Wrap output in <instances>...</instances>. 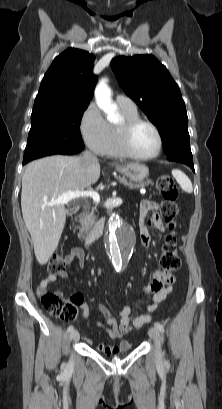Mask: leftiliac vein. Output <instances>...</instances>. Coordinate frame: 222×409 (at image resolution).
Masks as SVG:
<instances>
[{
  "instance_id": "4c4485c4",
  "label": "left iliac vein",
  "mask_w": 222,
  "mask_h": 409,
  "mask_svg": "<svg viewBox=\"0 0 222 409\" xmlns=\"http://www.w3.org/2000/svg\"><path fill=\"white\" fill-rule=\"evenodd\" d=\"M149 336L155 343L156 355H161V344H160V332L156 327H151L149 330Z\"/></svg>"
}]
</instances>
